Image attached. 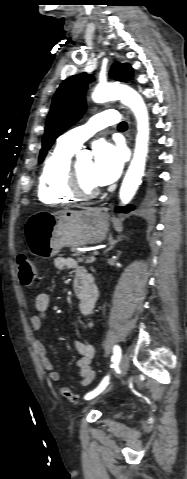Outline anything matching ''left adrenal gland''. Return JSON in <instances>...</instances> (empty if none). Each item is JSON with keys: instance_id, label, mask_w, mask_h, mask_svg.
<instances>
[{"instance_id": "obj_1", "label": "left adrenal gland", "mask_w": 187, "mask_h": 479, "mask_svg": "<svg viewBox=\"0 0 187 479\" xmlns=\"http://www.w3.org/2000/svg\"><path fill=\"white\" fill-rule=\"evenodd\" d=\"M108 241H109V247L106 249L105 252H108V251L112 250V249L114 248L115 244L118 242V240H114V239L112 238V236H110V237L108 238Z\"/></svg>"}]
</instances>
